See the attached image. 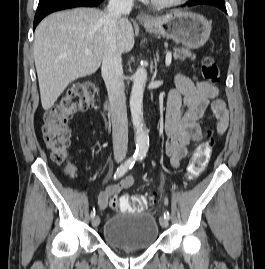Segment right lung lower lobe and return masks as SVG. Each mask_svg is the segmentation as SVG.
<instances>
[{
	"mask_svg": "<svg viewBox=\"0 0 265 269\" xmlns=\"http://www.w3.org/2000/svg\"><path fill=\"white\" fill-rule=\"evenodd\" d=\"M103 0H40L35 14L34 25H36L48 14L73 7H93L99 5Z\"/></svg>",
	"mask_w": 265,
	"mask_h": 269,
	"instance_id": "obj_1",
	"label": "right lung lower lobe"
}]
</instances>
